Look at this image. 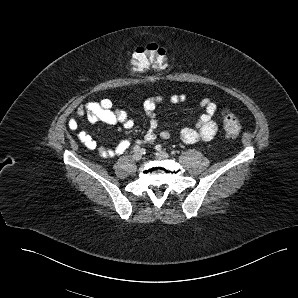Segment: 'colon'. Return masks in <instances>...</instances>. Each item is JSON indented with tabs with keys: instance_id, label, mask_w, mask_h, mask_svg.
<instances>
[{
	"instance_id": "obj_1",
	"label": "colon",
	"mask_w": 298,
	"mask_h": 298,
	"mask_svg": "<svg viewBox=\"0 0 298 298\" xmlns=\"http://www.w3.org/2000/svg\"><path fill=\"white\" fill-rule=\"evenodd\" d=\"M134 71L144 74L149 70L162 71L167 67L166 51L156 43H147L135 48L130 57ZM223 127L230 139H236L241 132L239 119L229 110L222 111Z\"/></svg>"
}]
</instances>
